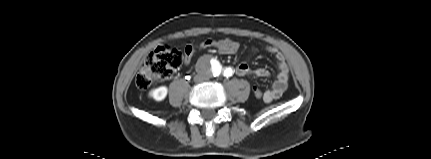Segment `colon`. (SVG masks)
Returning a JSON list of instances; mask_svg holds the SVG:
<instances>
[{"label": "colon", "instance_id": "colon-1", "mask_svg": "<svg viewBox=\"0 0 431 159\" xmlns=\"http://www.w3.org/2000/svg\"><path fill=\"white\" fill-rule=\"evenodd\" d=\"M236 50L216 49L217 56H234ZM183 54L180 50L170 46H159L154 49L141 65L135 77V84L140 89H147L152 83L170 78L181 66ZM253 96L263 98L264 92L260 88L253 89Z\"/></svg>", "mask_w": 431, "mask_h": 159}]
</instances>
